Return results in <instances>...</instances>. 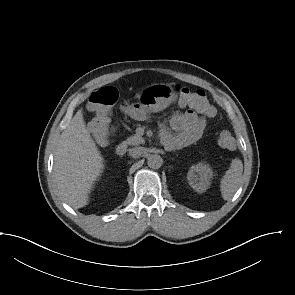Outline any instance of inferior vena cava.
Returning <instances> with one entry per match:
<instances>
[{"label": "inferior vena cava", "instance_id": "inferior-vena-cava-1", "mask_svg": "<svg viewBox=\"0 0 295 295\" xmlns=\"http://www.w3.org/2000/svg\"><path fill=\"white\" fill-rule=\"evenodd\" d=\"M143 151L144 150L142 147H134V148L129 149V154L132 157L137 158L143 154Z\"/></svg>", "mask_w": 295, "mask_h": 295}]
</instances>
